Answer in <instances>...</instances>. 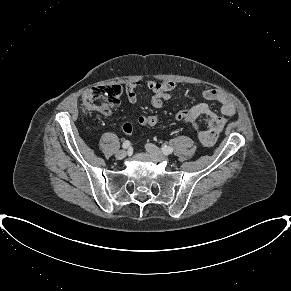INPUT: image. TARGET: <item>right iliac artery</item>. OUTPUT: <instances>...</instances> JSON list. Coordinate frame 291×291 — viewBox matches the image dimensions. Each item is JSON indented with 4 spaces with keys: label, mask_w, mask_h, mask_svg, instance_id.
Here are the masks:
<instances>
[{
    "label": "right iliac artery",
    "mask_w": 291,
    "mask_h": 291,
    "mask_svg": "<svg viewBox=\"0 0 291 291\" xmlns=\"http://www.w3.org/2000/svg\"><path fill=\"white\" fill-rule=\"evenodd\" d=\"M130 145H131V143H130L128 140H126V141L123 142L122 147H123L124 149H128V148L130 147Z\"/></svg>",
    "instance_id": "right-iliac-artery-1"
}]
</instances>
